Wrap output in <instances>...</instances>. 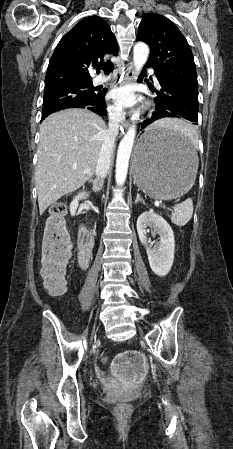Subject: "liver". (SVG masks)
Here are the masks:
<instances>
[{"label":"liver","instance_id":"liver-1","mask_svg":"<svg viewBox=\"0 0 233 449\" xmlns=\"http://www.w3.org/2000/svg\"><path fill=\"white\" fill-rule=\"evenodd\" d=\"M179 124L166 118L152 126ZM106 131L103 119L87 109L59 111L42 122L35 169L40 214L92 177Z\"/></svg>","mask_w":233,"mask_h":449}]
</instances>
